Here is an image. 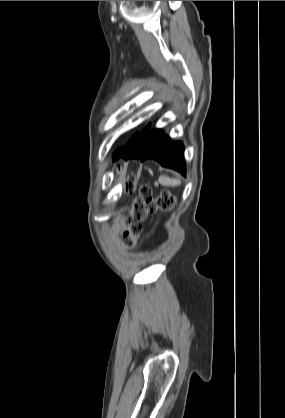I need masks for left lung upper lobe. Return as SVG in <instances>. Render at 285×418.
Instances as JSON below:
<instances>
[{"label":"left lung upper lobe","instance_id":"obj_1","mask_svg":"<svg viewBox=\"0 0 285 418\" xmlns=\"http://www.w3.org/2000/svg\"><path fill=\"white\" fill-rule=\"evenodd\" d=\"M133 139H134V137H132L131 138V140H130V142L124 147V148H121V149H119L115 154H114V158L113 159H115L117 156H119L122 152H124L127 148H128V146L130 145V143L133 141Z\"/></svg>","mask_w":285,"mask_h":418}]
</instances>
